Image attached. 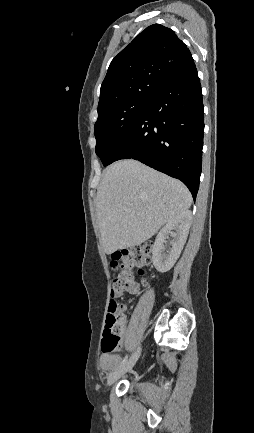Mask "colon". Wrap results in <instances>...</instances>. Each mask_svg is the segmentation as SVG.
<instances>
[{
  "mask_svg": "<svg viewBox=\"0 0 254 433\" xmlns=\"http://www.w3.org/2000/svg\"><path fill=\"white\" fill-rule=\"evenodd\" d=\"M150 245L135 247L115 255L112 267L117 271L112 279V290L116 292H127L136 294L139 284L136 281L133 269L139 267L149 258ZM122 305L112 299L106 317L102 351L106 354L115 352L121 344L125 321L122 315Z\"/></svg>",
  "mask_w": 254,
  "mask_h": 433,
  "instance_id": "colon-1",
  "label": "colon"
}]
</instances>
